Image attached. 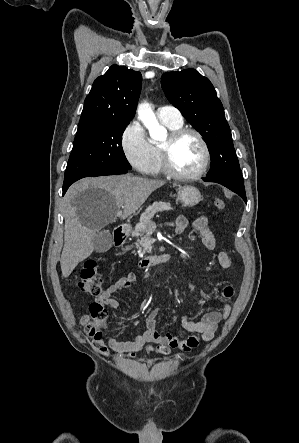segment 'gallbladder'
Instances as JSON below:
<instances>
[{
  "label": "gallbladder",
  "instance_id": "gallbladder-1",
  "mask_svg": "<svg viewBox=\"0 0 299 443\" xmlns=\"http://www.w3.org/2000/svg\"><path fill=\"white\" fill-rule=\"evenodd\" d=\"M113 244V239L109 231H98L93 238L94 250L97 253L107 252Z\"/></svg>",
  "mask_w": 299,
  "mask_h": 443
}]
</instances>
